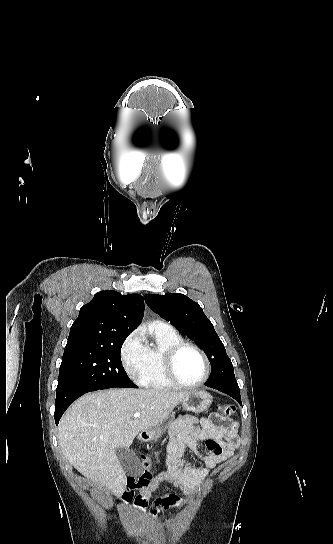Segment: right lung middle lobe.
Returning a JSON list of instances; mask_svg holds the SVG:
<instances>
[{
    "label": "right lung middle lobe",
    "mask_w": 333,
    "mask_h": 544,
    "mask_svg": "<svg viewBox=\"0 0 333 544\" xmlns=\"http://www.w3.org/2000/svg\"><path fill=\"white\" fill-rule=\"evenodd\" d=\"M127 336L105 345H86L64 350L57 387L138 388L127 376L120 351Z\"/></svg>",
    "instance_id": "dd1d6c3e"
}]
</instances>
